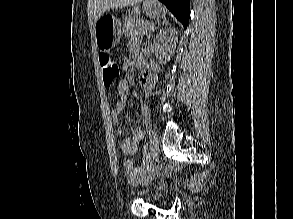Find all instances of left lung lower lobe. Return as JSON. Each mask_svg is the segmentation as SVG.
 Returning <instances> with one entry per match:
<instances>
[{"label":"left lung lower lobe","mask_w":293,"mask_h":219,"mask_svg":"<svg viewBox=\"0 0 293 219\" xmlns=\"http://www.w3.org/2000/svg\"><path fill=\"white\" fill-rule=\"evenodd\" d=\"M174 14L186 29L190 17L189 0H159Z\"/></svg>","instance_id":"obj_1"}]
</instances>
